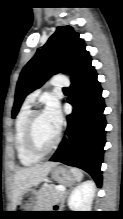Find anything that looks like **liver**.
Returning <instances> with one entry per match:
<instances>
[{"label":"liver","mask_w":123,"mask_h":219,"mask_svg":"<svg viewBox=\"0 0 123 219\" xmlns=\"http://www.w3.org/2000/svg\"><path fill=\"white\" fill-rule=\"evenodd\" d=\"M56 165L55 162H46L17 170L13 178L12 209H15L23 196L32 187L40 184Z\"/></svg>","instance_id":"6515ba94"}]
</instances>
